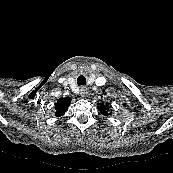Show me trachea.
I'll return each mask as SVG.
<instances>
[{"instance_id": "1", "label": "trachea", "mask_w": 173, "mask_h": 173, "mask_svg": "<svg viewBox=\"0 0 173 173\" xmlns=\"http://www.w3.org/2000/svg\"><path fill=\"white\" fill-rule=\"evenodd\" d=\"M77 84H78L79 86L85 85V84H86V79H85V77H84V76H79V77L77 78Z\"/></svg>"}]
</instances>
